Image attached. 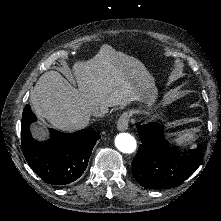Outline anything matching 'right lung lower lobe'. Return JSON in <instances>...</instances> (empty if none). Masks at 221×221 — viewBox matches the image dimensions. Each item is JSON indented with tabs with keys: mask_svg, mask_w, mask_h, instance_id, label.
Masks as SVG:
<instances>
[{
	"mask_svg": "<svg viewBox=\"0 0 221 221\" xmlns=\"http://www.w3.org/2000/svg\"><path fill=\"white\" fill-rule=\"evenodd\" d=\"M35 121V115L26 105L22 115L21 141L29 166L43 181L52 185H65L77 180L85 171L100 135L91 130L61 133L49 129L50 139L39 142L32 138L29 130Z\"/></svg>",
	"mask_w": 221,
	"mask_h": 221,
	"instance_id": "98d812e1",
	"label": "right lung lower lobe"
}]
</instances>
